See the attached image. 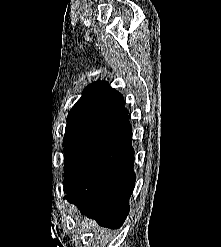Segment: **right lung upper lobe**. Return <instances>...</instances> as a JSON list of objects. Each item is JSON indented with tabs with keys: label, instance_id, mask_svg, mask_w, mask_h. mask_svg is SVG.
I'll use <instances>...</instances> for the list:
<instances>
[{
	"label": "right lung upper lobe",
	"instance_id": "cb5924a9",
	"mask_svg": "<svg viewBox=\"0 0 221 247\" xmlns=\"http://www.w3.org/2000/svg\"><path fill=\"white\" fill-rule=\"evenodd\" d=\"M128 114L121 93L106 81L89 84L67 117L68 128L85 130Z\"/></svg>",
	"mask_w": 221,
	"mask_h": 247
}]
</instances>
